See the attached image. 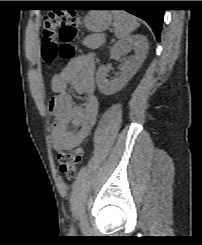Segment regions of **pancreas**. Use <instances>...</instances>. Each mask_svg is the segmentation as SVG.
I'll use <instances>...</instances> for the list:
<instances>
[{"mask_svg":"<svg viewBox=\"0 0 202 245\" xmlns=\"http://www.w3.org/2000/svg\"><path fill=\"white\" fill-rule=\"evenodd\" d=\"M105 43L104 36L97 34L89 35L83 40V45L90 49H97Z\"/></svg>","mask_w":202,"mask_h":245,"instance_id":"cf45deb5","label":"pancreas"}]
</instances>
